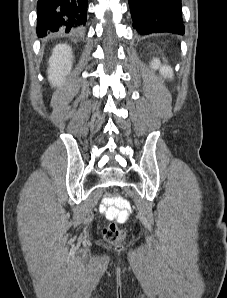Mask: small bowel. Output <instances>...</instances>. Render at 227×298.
Wrapping results in <instances>:
<instances>
[{
	"label": "small bowel",
	"instance_id": "obj_1",
	"mask_svg": "<svg viewBox=\"0 0 227 298\" xmlns=\"http://www.w3.org/2000/svg\"><path fill=\"white\" fill-rule=\"evenodd\" d=\"M101 210H102V211H105V207H104V206H102V207H101Z\"/></svg>",
	"mask_w": 227,
	"mask_h": 298
}]
</instances>
